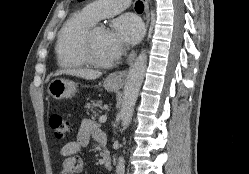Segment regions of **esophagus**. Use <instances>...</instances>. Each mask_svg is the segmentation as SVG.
Listing matches in <instances>:
<instances>
[{
  "label": "esophagus",
  "mask_w": 249,
  "mask_h": 174,
  "mask_svg": "<svg viewBox=\"0 0 249 174\" xmlns=\"http://www.w3.org/2000/svg\"><path fill=\"white\" fill-rule=\"evenodd\" d=\"M144 3L145 8V20H146V26H149L150 22V10H149V0H142ZM136 57V52H133L130 54L128 58V65L129 67L133 64ZM128 75V69L122 70V71H116L109 75V79L118 86H123L126 82Z\"/></svg>",
  "instance_id": "34e87169"
}]
</instances>
